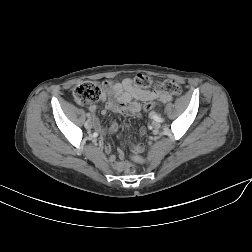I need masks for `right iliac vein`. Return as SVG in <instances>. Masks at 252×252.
I'll return each instance as SVG.
<instances>
[{
  "label": "right iliac vein",
  "mask_w": 252,
  "mask_h": 252,
  "mask_svg": "<svg viewBox=\"0 0 252 252\" xmlns=\"http://www.w3.org/2000/svg\"><path fill=\"white\" fill-rule=\"evenodd\" d=\"M85 128L88 129V130H90L92 128V123L87 121L85 123Z\"/></svg>",
  "instance_id": "right-iliac-vein-1"
}]
</instances>
